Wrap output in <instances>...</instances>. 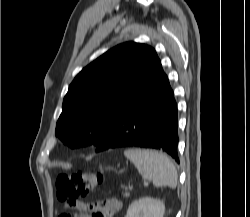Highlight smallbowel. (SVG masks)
<instances>
[{
  "label": "small bowel",
  "mask_w": 250,
  "mask_h": 217,
  "mask_svg": "<svg viewBox=\"0 0 250 217\" xmlns=\"http://www.w3.org/2000/svg\"><path fill=\"white\" fill-rule=\"evenodd\" d=\"M100 203L102 204L103 217L114 216L121 211L123 206L122 201L118 198H111ZM71 209L75 211V215L73 217H89L82 211L80 206Z\"/></svg>",
  "instance_id": "c3829d8e"
}]
</instances>
